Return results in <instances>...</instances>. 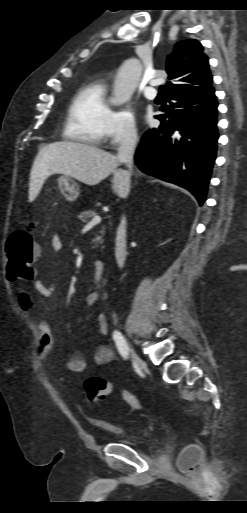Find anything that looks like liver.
<instances>
[{"label": "liver", "instance_id": "1", "mask_svg": "<svg viewBox=\"0 0 247 513\" xmlns=\"http://www.w3.org/2000/svg\"><path fill=\"white\" fill-rule=\"evenodd\" d=\"M120 161L113 154L95 146L78 142H55L43 147L37 154L30 176L29 200L40 191L45 179L54 173L94 186L113 174L112 189L125 197L131 180L127 171L119 169Z\"/></svg>", "mask_w": 247, "mask_h": 513}]
</instances>
